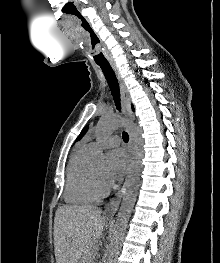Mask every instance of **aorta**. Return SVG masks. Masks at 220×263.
<instances>
[{"mask_svg":"<svg viewBox=\"0 0 220 263\" xmlns=\"http://www.w3.org/2000/svg\"><path fill=\"white\" fill-rule=\"evenodd\" d=\"M120 127H126L131 135L133 141V163L126 191L110 239L107 263H113L119 251L121 239L126 230L129 217L136 201L142 168L143 138L142 131L136 124L119 117H102L97 124L96 133L99 138H102ZM95 161L97 164H105L106 157L103 153H99L96 156Z\"/></svg>","mask_w":220,"mask_h":263,"instance_id":"762f6f07","label":"aorta"}]
</instances>
